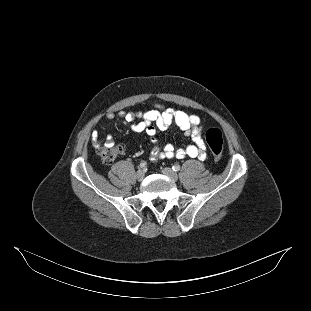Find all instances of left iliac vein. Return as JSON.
<instances>
[{
  "mask_svg": "<svg viewBox=\"0 0 311 311\" xmlns=\"http://www.w3.org/2000/svg\"><path fill=\"white\" fill-rule=\"evenodd\" d=\"M162 173L166 176H168L172 181L178 180V175L176 172H174L171 168L165 167L162 169Z\"/></svg>",
  "mask_w": 311,
  "mask_h": 311,
  "instance_id": "1",
  "label": "left iliac vein"
}]
</instances>
